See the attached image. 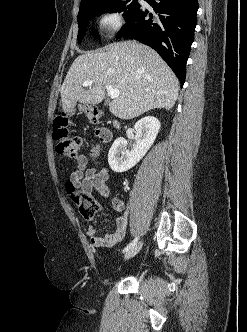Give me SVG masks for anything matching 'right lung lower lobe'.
<instances>
[{
  "instance_id": "1",
  "label": "right lung lower lobe",
  "mask_w": 247,
  "mask_h": 332,
  "mask_svg": "<svg viewBox=\"0 0 247 332\" xmlns=\"http://www.w3.org/2000/svg\"><path fill=\"white\" fill-rule=\"evenodd\" d=\"M198 0H146L157 14L139 9L126 19L116 38H134L156 50L170 66L181 86L194 40ZM149 17V18H148Z\"/></svg>"
}]
</instances>
